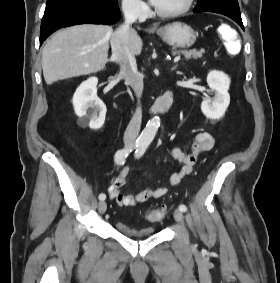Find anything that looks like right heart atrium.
I'll use <instances>...</instances> for the list:
<instances>
[{
  "mask_svg": "<svg viewBox=\"0 0 280 283\" xmlns=\"http://www.w3.org/2000/svg\"><path fill=\"white\" fill-rule=\"evenodd\" d=\"M122 10L133 17H142L147 11V6L141 0H121Z\"/></svg>",
  "mask_w": 280,
  "mask_h": 283,
  "instance_id": "obj_1",
  "label": "right heart atrium"
}]
</instances>
